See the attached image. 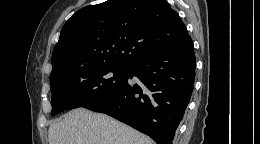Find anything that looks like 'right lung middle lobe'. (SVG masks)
<instances>
[{
  "label": "right lung middle lobe",
  "instance_id": "obj_1",
  "mask_svg": "<svg viewBox=\"0 0 260 144\" xmlns=\"http://www.w3.org/2000/svg\"><path fill=\"white\" fill-rule=\"evenodd\" d=\"M127 72L128 67L98 65L52 76V115L109 97L124 85Z\"/></svg>",
  "mask_w": 260,
  "mask_h": 144
}]
</instances>
